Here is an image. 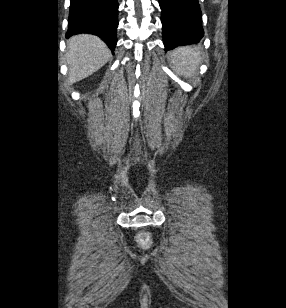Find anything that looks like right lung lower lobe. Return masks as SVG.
Wrapping results in <instances>:
<instances>
[{"instance_id": "1", "label": "right lung lower lobe", "mask_w": 286, "mask_h": 308, "mask_svg": "<svg viewBox=\"0 0 286 308\" xmlns=\"http://www.w3.org/2000/svg\"><path fill=\"white\" fill-rule=\"evenodd\" d=\"M117 0H70L66 37L90 33L99 36L112 50L117 43Z\"/></svg>"}]
</instances>
